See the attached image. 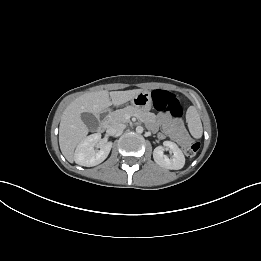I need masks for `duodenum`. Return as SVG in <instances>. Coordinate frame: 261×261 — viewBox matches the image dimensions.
Returning a JSON list of instances; mask_svg holds the SVG:
<instances>
[{"instance_id":"obj_1","label":"duodenum","mask_w":261,"mask_h":261,"mask_svg":"<svg viewBox=\"0 0 261 261\" xmlns=\"http://www.w3.org/2000/svg\"><path fill=\"white\" fill-rule=\"evenodd\" d=\"M105 129H106V124H105V122L102 121V122L99 124L98 130H99L100 132H103Z\"/></svg>"}]
</instances>
